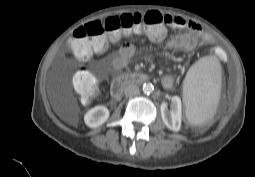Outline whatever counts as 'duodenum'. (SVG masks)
Here are the masks:
<instances>
[{
  "label": "duodenum",
  "instance_id": "duodenum-1",
  "mask_svg": "<svg viewBox=\"0 0 255 177\" xmlns=\"http://www.w3.org/2000/svg\"><path fill=\"white\" fill-rule=\"evenodd\" d=\"M148 80V76L143 73H127L116 77L111 84L112 94L118 98L122 90L129 84L143 83Z\"/></svg>",
  "mask_w": 255,
  "mask_h": 177
}]
</instances>
